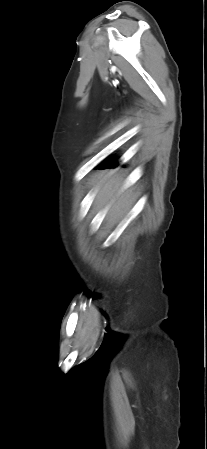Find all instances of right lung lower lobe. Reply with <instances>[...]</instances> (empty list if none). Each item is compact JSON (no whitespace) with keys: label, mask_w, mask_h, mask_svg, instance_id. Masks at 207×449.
<instances>
[{"label":"right lung lower lobe","mask_w":207,"mask_h":449,"mask_svg":"<svg viewBox=\"0 0 207 449\" xmlns=\"http://www.w3.org/2000/svg\"><path fill=\"white\" fill-rule=\"evenodd\" d=\"M117 165V163L116 162H110V163H106V164H103L100 168H105V167H114V166H116Z\"/></svg>","instance_id":"obj_1"}]
</instances>
